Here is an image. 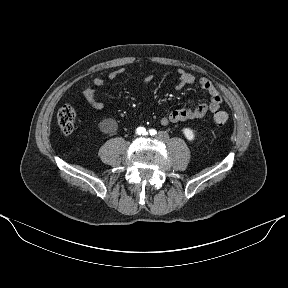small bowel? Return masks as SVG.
I'll list each match as a JSON object with an SVG mask.
<instances>
[{"label": "small bowel", "instance_id": "c3829d8e", "mask_svg": "<svg viewBox=\"0 0 288 288\" xmlns=\"http://www.w3.org/2000/svg\"><path fill=\"white\" fill-rule=\"evenodd\" d=\"M125 73L124 69H118L112 71L108 75V79L113 81L119 76ZM178 81L176 84V89L180 90L187 85H192L196 82V77L189 71L185 69H178L177 71ZM150 81V77L145 79V83ZM105 84V80L101 77H96L93 80V84L86 87L83 91V95L88 102V104L94 109L104 108V103L99 101L95 96L94 87H102ZM199 86L205 90L209 96L210 100L207 103H199L194 108H182L176 109L169 113H163L160 117V122L162 125L167 126L172 123L192 121L196 119L203 118L208 112H216L220 108L222 103V96L215 85L207 78H200L198 80Z\"/></svg>", "mask_w": 288, "mask_h": 288}]
</instances>
